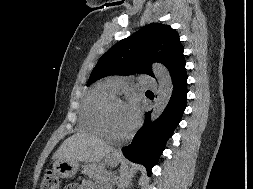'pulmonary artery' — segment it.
Wrapping results in <instances>:
<instances>
[{
  "label": "pulmonary artery",
  "instance_id": "e3ab8cb5",
  "mask_svg": "<svg viewBox=\"0 0 253 189\" xmlns=\"http://www.w3.org/2000/svg\"><path fill=\"white\" fill-rule=\"evenodd\" d=\"M106 82L114 92H117L121 86L126 84V81L124 79L118 77H112L108 79ZM139 82L141 85L148 88H155L157 85L156 80L149 75H141L139 77Z\"/></svg>",
  "mask_w": 253,
  "mask_h": 189
}]
</instances>
